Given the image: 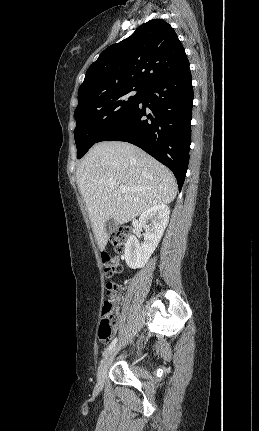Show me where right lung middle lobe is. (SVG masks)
<instances>
[{
    "instance_id": "dd1d6c3e",
    "label": "right lung middle lobe",
    "mask_w": 259,
    "mask_h": 431,
    "mask_svg": "<svg viewBox=\"0 0 259 431\" xmlns=\"http://www.w3.org/2000/svg\"><path fill=\"white\" fill-rule=\"evenodd\" d=\"M144 91L134 87L119 88L90 96L78 104L74 113L78 159L139 103Z\"/></svg>"
}]
</instances>
